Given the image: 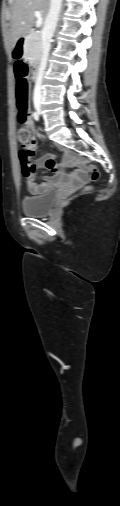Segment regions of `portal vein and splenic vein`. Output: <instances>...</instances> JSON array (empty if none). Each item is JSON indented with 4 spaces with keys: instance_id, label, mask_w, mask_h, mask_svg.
I'll list each match as a JSON object with an SVG mask.
<instances>
[{
    "instance_id": "obj_1",
    "label": "portal vein and splenic vein",
    "mask_w": 120,
    "mask_h": 506,
    "mask_svg": "<svg viewBox=\"0 0 120 506\" xmlns=\"http://www.w3.org/2000/svg\"><path fill=\"white\" fill-rule=\"evenodd\" d=\"M34 14L37 17L36 27L39 28V27H41V25L43 23V18H42L41 12L35 11Z\"/></svg>"
}]
</instances>
